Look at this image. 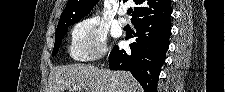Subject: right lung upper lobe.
<instances>
[{"mask_svg": "<svg viewBox=\"0 0 225 92\" xmlns=\"http://www.w3.org/2000/svg\"><path fill=\"white\" fill-rule=\"evenodd\" d=\"M127 0H124V2ZM137 7L132 13L131 22L138 19L164 16L172 12L170 0H133ZM98 0H68L58 25H70L86 16Z\"/></svg>", "mask_w": 225, "mask_h": 92, "instance_id": "1", "label": "right lung upper lobe"}]
</instances>
